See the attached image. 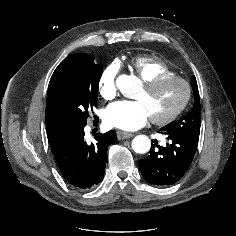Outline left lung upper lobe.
<instances>
[{"label":"left lung upper lobe","instance_id":"left-lung-upper-lobe-1","mask_svg":"<svg viewBox=\"0 0 236 236\" xmlns=\"http://www.w3.org/2000/svg\"><path fill=\"white\" fill-rule=\"evenodd\" d=\"M191 85L194 93L193 108L180 120L164 126L170 131L186 133L199 138L200 134V98L195 76L191 78Z\"/></svg>","mask_w":236,"mask_h":236}]
</instances>
